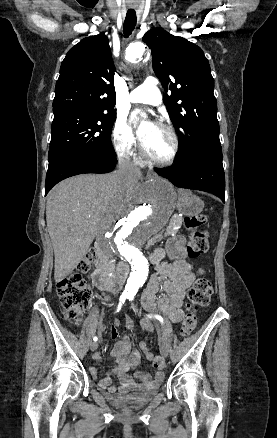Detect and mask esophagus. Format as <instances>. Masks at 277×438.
I'll return each instance as SVG.
<instances>
[{
	"instance_id": "esophagus-1",
	"label": "esophagus",
	"mask_w": 277,
	"mask_h": 438,
	"mask_svg": "<svg viewBox=\"0 0 277 438\" xmlns=\"http://www.w3.org/2000/svg\"><path fill=\"white\" fill-rule=\"evenodd\" d=\"M131 8H135V7H131ZM152 176H153L152 172L149 171V172L147 173V177H148V178H151Z\"/></svg>"
}]
</instances>
